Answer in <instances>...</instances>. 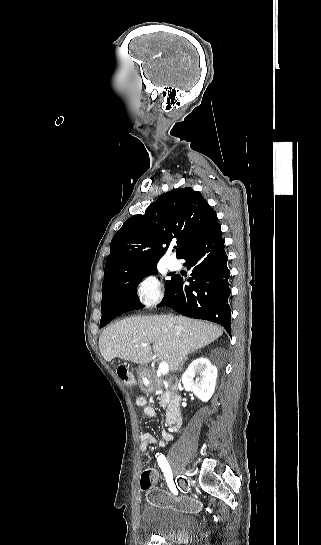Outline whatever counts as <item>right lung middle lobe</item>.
<instances>
[{"instance_id": "obj_1", "label": "right lung middle lobe", "mask_w": 321, "mask_h": 545, "mask_svg": "<svg viewBox=\"0 0 321 545\" xmlns=\"http://www.w3.org/2000/svg\"><path fill=\"white\" fill-rule=\"evenodd\" d=\"M150 274H157L156 267H152V268L145 269V270L133 273L131 275H128L127 277L124 278V280L118 286L114 288H110V289H103L102 290V305H104L107 299L113 294L131 295L138 299L137 293H136L137 286L144 277ZM171 280L165 282L167 287L170 284ZM103 325H104V318L101 317L100 327H103Z\"/></svg>"}]
</instances>
